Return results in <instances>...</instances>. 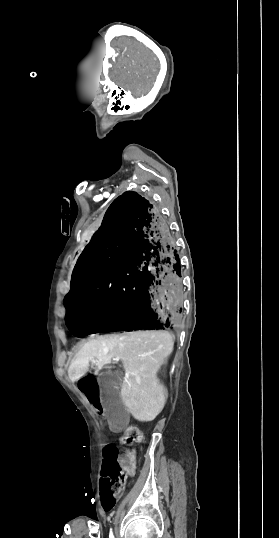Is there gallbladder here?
Returning a JSON list of instances; mask_svg holds the SVG:
<instances>
[{"label": "gallbladder", "instance_id": "obj_1", "mask_svg": "<svg viewBox=\"0 0 279 538\" xmlns=\"http://www.w3.org/2000/svg\"><path fill=\"white\" fill-rule=\"evenodd\" d=\"M123 374L121 372H103L98 378V384L103 394L101 401L108 405L106 409L107 421L113 423L116 429L124 428L131 415L121 402L120 386Z\"/></svg>", "mask_w": 279, "mask_h": 538}]
</instances>
